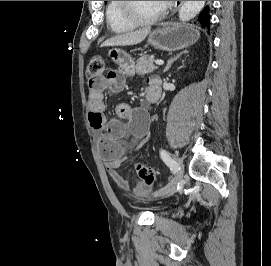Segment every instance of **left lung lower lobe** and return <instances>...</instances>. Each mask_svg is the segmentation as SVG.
Here are the masks:
<instances>
[{"label": "left lung lower lobe", "mask_w": 271, "mask_h": 266, "mask_svg": "<svg viewBox=\"0 0 271 266\" xmlns=\"http://www.w3.org/2000/svg\"><path fill=\"white\" fill-rule=\"evenodd\" d=\"M209 9L206 7L201 14L198 17V22L200 23L201 27L210 31V25H209Z\"/></svg>", "instance_id": "obj_1"}]
</instances>
